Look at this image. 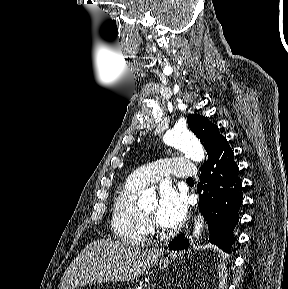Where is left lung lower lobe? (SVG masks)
<instances>
[{
  "label": "left lung lower lobe",
  "instance_id": "left-lung-lower-lobe-1",
  "mask_svg": "<svg viewBox=\"0 0 288 289\" xmlns=\"http://www.w3.org/2000/svg\"><path fill=\"white\" fill-rule=\"evenodd\" d=\"M238 166L234 152L226 139H223L213 156L201 167L198 183L199 210L207 220L210 229V242L230 253L235 241L233 230L239 221L238 210L242 204L238 177ZM189 242L181 234L169 243V248H186Z\"/></svg>",
  "mask_w": 288,
  "mask_h": 289
}]
</instances>
